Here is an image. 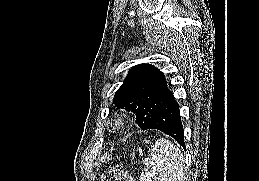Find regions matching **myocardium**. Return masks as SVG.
Here are the masks:
<instances>
[{
    "instance_id": "obj_1",
    "label": "myocardium",
    "mask_w": 259,
    "mask_h": 181,
    "mask_svg": "<svg viewBox=\"0 0 259 181\" xmlns=\"http://www.w3.org/2000/svg\"><path fill=\"white\" fill-rule=\"evenodd\" d=\"M126 122V116L125 115H118L113 120V125L115 128L119 129L121 128Z\"/></svg>"
}]
</instances>
